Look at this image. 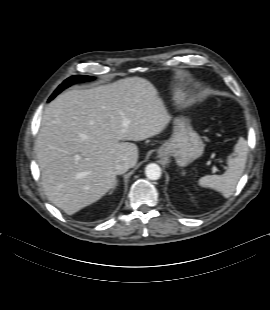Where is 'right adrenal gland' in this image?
Returning a JSON list of instances; mask_svg holds the SVG:
<instances>
[{"instance_id":"obj_1","label":"right adrenal gland","mask_w":270,"mask_h":310,"mask_svg":"<svg viewBox=\"0 0 270 310\" xmlns=\"http://www.w3.org/2000/svg\"><path fill=\"white\" fill-rule=\"evenodd\" d=\"M117 185H118V181H116L115 186H114L113 189L109 192V194H112V193H113V191L115 190V188L117 187Z\"/></svg>"}]
</instances>
